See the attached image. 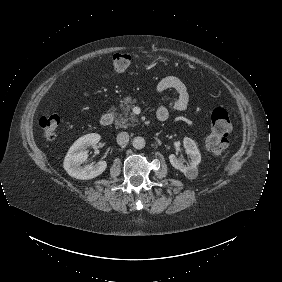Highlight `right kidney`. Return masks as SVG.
<instances>
[{"mask_svg":"<svg viewBox=\"0 0 282 282\" xmlns=\"http://www.w3.org/2000/svg\"><path fill=\"white\" fill-rule=\"evenodd\" d=\"M101 139L97 133L86 134L77 139L69 148L63 162L66 172L73 178L89 180L102 174L106 167V161H99L95 165L81 166L87 160L89 146L96 145Z\"/></svg>","mask_w":282,"mask_h":282,"instance_id":"right-kidney-1","label":"right kidney"}]
</instances>
